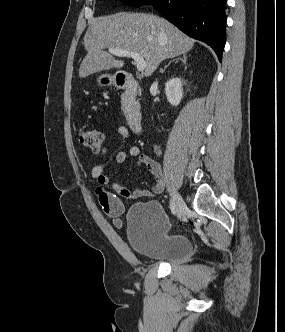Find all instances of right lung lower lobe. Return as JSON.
Listing matches in <instances>:
<instances>
[{
  "label": "right lung lower lobe",
  "mask_w": 285,
  "mask_h": 332,
  "mask_svg": "<svg viewBox=\"0 0 285 332\" xmlns=\"http://www.w3.org/2000/svg\"><path fill=\"white\" fill-rule=\"evenodd\" d=\"M150 4L185 34L210 45L221 61L226 0H153Z\"/></svg>",
  "instance_id": "right-lung-lower-lobe-1"
}]
</instances>
